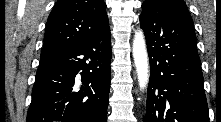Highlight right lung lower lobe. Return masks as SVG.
I'll use <instances>...</instances> for the list:
<instances>
[{
	"instance_id": "right-lung-lower-lobe-1",
	"label": "right lung lower lobe",
	"mask_w": 221,
	"mask_h": 122,
	"mask_svg": "<svg viewBox=\"0 0 221 122\" xmlns=\"http://www.w3.org/2000/svg\"><path fill=\"white\" fill-rule=\"evenodd\" d=\"M110 61V28L41 60L26 122H106Z\"/></svg>"
}]
</instances>
